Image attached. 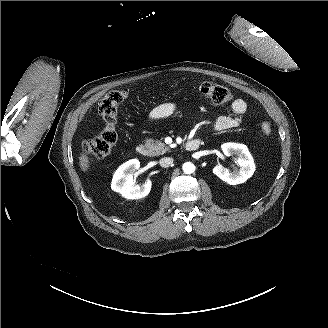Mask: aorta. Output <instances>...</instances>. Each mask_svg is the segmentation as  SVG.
Wrapping results in <instances>:
<instances>
[{
  "label": "aorta",
  "mask_w": 328,
  "mask_h": 328,
  "mask_svg": "<svg viewBox=\"0 0 328 328\" xmlns=\"http://www.w3.org/2000/svg\"><path fill=\"white\" fill-rule=\"evenodd\" d=\"M182 169L185 174H191L195 171V166L191 162H185L182 166Z\"/></svg>",
  "instance_id": "obj_1"
}]
</instances>
